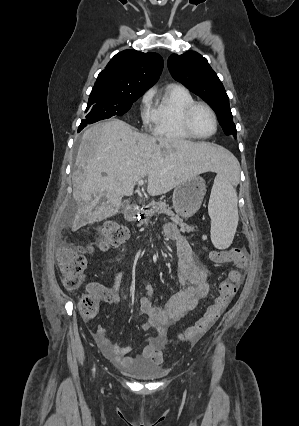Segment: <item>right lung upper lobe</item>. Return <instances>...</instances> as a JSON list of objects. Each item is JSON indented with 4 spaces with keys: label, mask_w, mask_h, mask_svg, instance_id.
<instances>
[{
    "label": "right lung upper lobe",
    "mask_w": 299,
    "mask_h": 426,
    "mask_svg": "<svg viewBox=\"0 0 299 426\" xmlns=\"http://www.w3.org/2000/svg\"><path fill=\"white\" fill-rule=\"evenodd\" d=\"M162 69L163 59L159 54L124 50L116 54L98 75L94 87L124 93L145 92L157 82Z\"/></svg>",
    "instance_id": "1"
}]
</instances>
